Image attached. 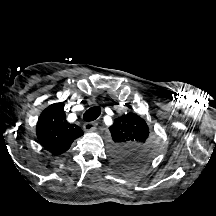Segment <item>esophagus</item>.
I'll use <instances>...</instances> for the list:
<instances>
[{
    "label": "esophagus",
    "mask_w": 216,
    "mask_h": 216,
    "mask_svg": "<svg viewBox=\"0 0 216 216\" xmlns=\"http://www.w3.org/2000/svg\"><path fill=\"white\" fill-rule=\"evenodd\" d=\"M98 122H87L84 124L83 128L86 132H91L96 129Z\"/></svg>",
    "instance_id": "esophagus-1"
}]
</instances>
